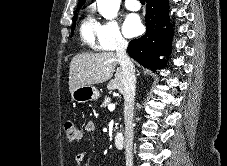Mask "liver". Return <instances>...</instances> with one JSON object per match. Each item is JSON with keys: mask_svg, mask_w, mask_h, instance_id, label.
<instances>
[{"mask_svg": "<svg viewBox=\"0 0 227 166\" xmlns=\"http://www.w3.org/2000/svg\"><path fill=\"white\" fill-rule=\"evenodd\" d=\"M114 52L81 53L73 57L69 69V91L85 85L101 84L108 80V89H117L123 93L124 78L121 67ZM114 79H111L113 73Z\"/></svg>", "mask_w": 227, "mask_h": 166, "instance_id": "6515ba94", "label": "liver"}]
</instances>
